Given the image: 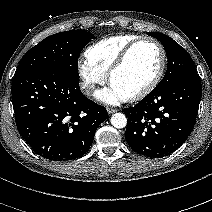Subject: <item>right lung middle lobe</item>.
<instances>
[{
	"label": "right lung middle lobe",
	"instance_id": "dd1d6c3e",
	"mask_svg": "<svg viewBox=\"0 0 212 212\" xmlns=\"http://www.w3.org/2000/svg\"><path fill=\"white\" fill-rule=\"evenodd\" d=\"M93 37L84 30H70L49 36L23 56L15 76L34 70L52 69L79 80L78 56Z\"/></svg>",
	"mask_w": 212,
	"mask_h": 212
}]
</instances>
